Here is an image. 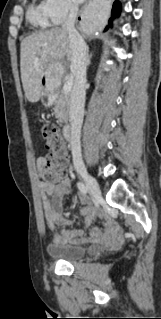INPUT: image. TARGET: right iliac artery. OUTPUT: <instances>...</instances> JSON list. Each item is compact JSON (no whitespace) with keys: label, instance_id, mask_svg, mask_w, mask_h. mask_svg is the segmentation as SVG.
Masks as SVG:
<instances>
[{"label":"right iliac artery","instance_id":"right-iliac-artery-1","mask_svg":"<svg viewBox=\"0 0 161 319\" xmlns=\"http://www.w3.org/2000/svg\"><path fill=\"white\" fill-rule=\"evenodd\" d=\"M77 187H78V189L80 190L81 193L87 194L88 188L83 183L78 182L77 183Z\"/></svg>","mask_w":161,"mask_h":319}]
</instances>
